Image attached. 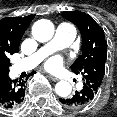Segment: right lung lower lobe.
<instances>
[{
  "mask_svg": "<svg viewBox=\"0 0 117 117\" xmlns=\"http://www.w3.org/2000/svg\"><path fill=\"white\" fill-rule=\"evenodd\" d=\"M25 82L14 80L9 77L0 84V106L6 109L18 107L25 96Z\"/></svg>",
  "mask_w": 117,
  "mask_h": 117,
  "instance_id": "right-lung-lower-lobe-1",
  "label": "right lung lower lobe"
}]
</instances>
